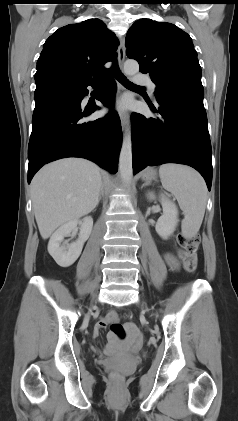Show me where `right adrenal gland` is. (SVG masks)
I'll list each match as a JSON object with an SVG mask.
<instances>
[{
	"label": "right adrenal gland",
	"instance_id": "obj_1",
	"mask_svg": "<svg viewBox=\"0 0 238 421\" xmlns=\"http://www.w3.org/2000/svg\"><path fill=\"white\" fill-rule=\"evenodd\" d=\"M104 196V190H103V187L101 188V192H100V195H99V199H98V203H99V201L102 199V197Z\"/></svg>",
	"mask_w": 238,
	"mask_h": 421
}]
</instances>
